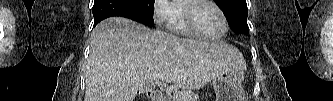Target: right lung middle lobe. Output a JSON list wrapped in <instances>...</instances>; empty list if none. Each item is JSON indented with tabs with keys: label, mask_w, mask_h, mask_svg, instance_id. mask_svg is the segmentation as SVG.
I'll return each mask as SVG.
<instances>
[{
	"label": "right lung middle lobe",
	"mask_w": 333,
	"mask_h": 101,
	"mask_svg": "<svg viewBox=\"0 0 333 101\" xmlns=\"http://www.w3.org/2000/svg\"><path fill=\"white\" fill-rule=\"evenodd\" d=\"M139 10L146 23L154 25L153 9L155 0H130Z\"/></svg>",
	"instance_id": "obj_1"
}]
</instances>
